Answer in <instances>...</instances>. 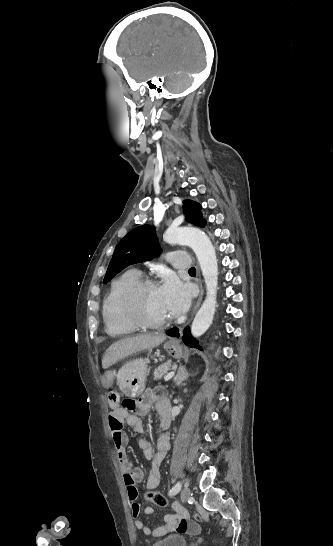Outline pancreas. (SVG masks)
I'll return each instance as SVG.
<instances>
[{
  "label": "pancreas",
  "instance_id": "1",
  "mask_svg": "<svg viewBox=\"0 0 333 546\" xmlns=\"http://www.w3.org/2000/svg\"><path fill=\"white\" fill-rule=\"evenodd\" d=\"M173 368V365L170 360L159 366L154 370V379L160 380L163 377H165L168 374V371H170Z\"/></svg>",
  "mask_w": 333,
  "mask_h": 546
}]
</instances>
